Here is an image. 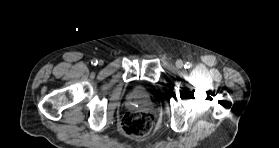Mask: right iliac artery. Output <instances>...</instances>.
Here are the masks:
<instances>
[{
    "label": "right iliac artery",
    "mask_w": 279,
    "mask_h": 148,
    "mask_svg": "<svg viewBox=\"0 0 279 148\" xmlns=\"http://www.w3.org/2000/svg\"><path fill=\"white\" fill-rule=\"evenodd\" d=\"M97 63H98L97 59H93V60L91 61V64H92V65H97Z\"/></svg>",
    "instance_id": "82829eb1"
}]
</instances>
